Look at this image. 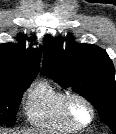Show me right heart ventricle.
I'll return each instance as SVG.
<instances>
[{
  "label": "right heart ventricle",
  "mask_w": 116,
  "mask_h": 134,
  "mask_svg": "<svg viewBox=\"0 0 116 134\" xmlns=\"http://www.w3.org/2000/svg\"><path fill=\"white\" fill-rule=\"evenodd\" d=\"M64 91L48 80L38 81L27 95L25 114L27 120L40 128L74 133L80 130L64 114L62 98Z\"/></svg>",
  "instance_id": "1"
}]
</instances>
